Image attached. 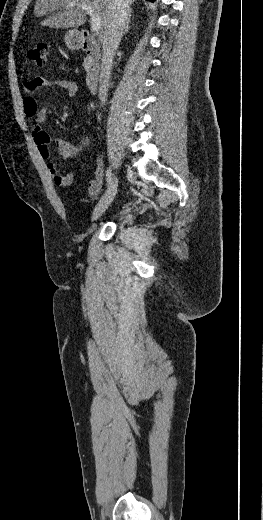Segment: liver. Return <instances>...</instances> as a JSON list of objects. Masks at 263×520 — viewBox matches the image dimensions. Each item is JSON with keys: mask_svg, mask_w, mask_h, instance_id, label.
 Here are the masks:
<instances>
[{"mask_svg": "<svg viewBox=\"0 0 263 520\" xmlns=\"http://www.w3.org/2000/svg\"><path fill=\"white\" fill-rule=\"evenodd\" d=\"M135 0H130V4ZM76 6L69 7V3ZM82 5L90 6L101 20L100 39L103 40L110 22L113 0H37L34 6L36 17L48 16L41 25L50 28H78L86 22V11Z\"/></svg>", "mask_w": 263, "mask_h": 520, "instance_id": "1", "label": "liver"}]
</instances>
